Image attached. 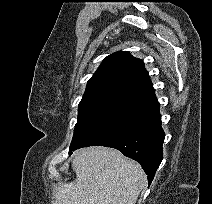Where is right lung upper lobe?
<instances>
[{"label":"right lung upper lobe","mask_w":212,"mask_h":204,"mask_svg":"<svg viewBox=\"0 0 212 204\" xmlns=\"http://www.w3.org/2000/svg\"><path fill=\"white\" fill-rule=\"evenodd\" d=\"M100 99H117L142 105L156 99L143 62L127 51L107 56L89 79L80 104Z\"/></svg>","instance_id":"cb5924a9"}]
</instances>
